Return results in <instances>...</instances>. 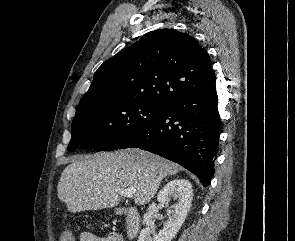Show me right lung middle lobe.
<instances>
[{"instance_id": "1", "label": "right lung middle lobe", "mask_w": 295, "mask_h": 241, "mask_svg": "<svg viewBox=\"0 0 295 241\" xmlns=\"http://www.w3.org/2000/svg\"><path fill=\"white\" fill-rule=\"evenodd\" d=\"M162 107L113 92L84 97L72 122L68 151L80 145L95 151L116 150L129 135L155 119Z\"/></svg>"}]
</instances>
